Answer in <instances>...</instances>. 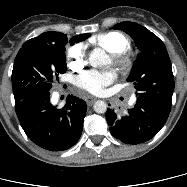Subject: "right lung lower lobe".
Segmentation results:
<instances>
[{"label": "right lung lower lobe", "instance_id": "right-lung-lower-lobe-1", "mask_svg": "<svg viewBox=\"0 0 187 187\" xmlns=\"http://www.w3.org/2000/svg\"><path fill=\"white\" fill-rule=\"evenodd\" d=\"M50 92L31 95L15 102L18 119L26 135L49 151L66 150L77 143L86 115V103L68 96L66 105L57 109L50 103Z\"/></svg>", "mask_w": 187, "mask_h": 187}]
</instances>
